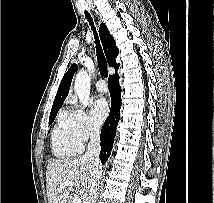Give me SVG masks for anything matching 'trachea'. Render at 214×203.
Masks as SVG:
<instances>
[{"label":"trachea","mask_w":214,"mask_h":203,"mask_svg":"<svg viewBox=\"0 0 214 203\" xmlns=\"http://www.w3.org/2000/svg\"><path fill=\"white\" fill-rule=\"evenodd\" d=\"M85 15H86V18H87V20L91 26V29L93 31V34H94L99 71H100V74L106 78L108 76L107 63H106V59H105V56L103 54L99 39H98L97 31H96V28L94 26L93 19L91 18V15L87 11H85Z\"/></svg>","instance_id":"trachea-1"}]
</instances>
